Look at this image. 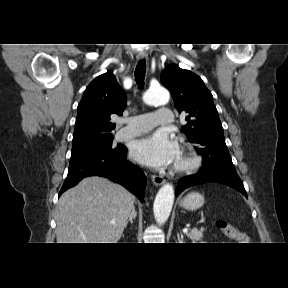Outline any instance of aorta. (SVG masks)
I'll list each match as a JSON object with an SVG mask.
<instances>
[{
  "label": "aorta",
  "instance_id": "762f6f07",
  "mask_svg": "<svg viewBox=\"0 0 288 288\" xmlns=\"http://www.w3.org/2000/svg\"><path fill=\"white\" fill-rule=\"evenodd\" d=\"M169 92L162 88L149 89L143 96V100L148 105H164L169 101ZM174 202V189L169 183L164 184L158 191L153 211L156 222L163 224L169 218Z\"/></svg>",
  "mask_w": 288,
  "mask_h": 288
}]
</instances>
